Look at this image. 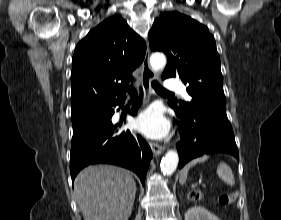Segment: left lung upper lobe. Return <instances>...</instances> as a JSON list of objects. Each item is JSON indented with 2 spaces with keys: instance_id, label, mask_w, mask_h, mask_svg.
<instances>
[{
  "instance_id": "obj_1",
  "label": "left lung upper lobe",
  "mask_w": 281,
  "mask_h": 220,
  "mask_svg": "<svg viewBox=\"0 0 281 220\" xmlns=\"http://www.w3.org/2000/svg\"><path fill=\"white\" fill-rule=\"evenodd\" d=\"M149 43L152 51H163L168 57L162 78L177 75L188 85L192 100L181 101L178 107L185 112L206 106L226 109L220 58L206 26L184 14L165 12L154 21Z\"/></svg>"
}]
</instances>
